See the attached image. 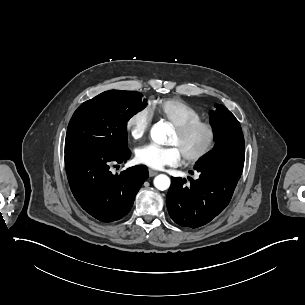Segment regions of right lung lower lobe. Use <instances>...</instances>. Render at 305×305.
I'll return each instance as SVG.
<instances>
[{
  "label": "right lung lower lobe",
  "instance_id": "right-lung-lower-lobe-1",
  "mask_svg": "<svg viewBox=\"0 0 305 305\" xmlns=\"http://www.w3.org/2000/svg\"><path fill=\"white\" fill-rule=\"evenodd\" d=\"M129 149L105 156L89 152L65 154L66 173L79 205L101 222H113L130 211L141 185L148 178L145 166L112 174L110 164L126 163Z\"/></svg>",
  "mask_w": 305,
  "mask_h": 305
}]
</instances>
